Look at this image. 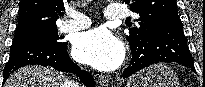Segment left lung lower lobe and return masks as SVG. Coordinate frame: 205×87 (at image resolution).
Here are the masks:
<instances>
[{
	"instance_id": "0a47b994",
	"label": "left lung lower lobe",
	"mask_w": 205,
	"mask_h": 87,
	"mask_svg": "<svg viewBox=\"0 0 205 87\" xmlns=\"http://www.w3.org/2000/svg\"><path fill=\"white\" fill-rule=\"evenodd\" d=\"M131 53L132 61L124 70L122 78L160 62H177L195 72L193 57L188 50L179 18H169L156 24L141 46L131 47Z\"/></svg>"
}]
</instances>
